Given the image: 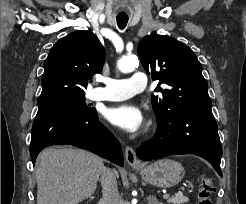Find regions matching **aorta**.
<instances>
[{
    "label": "aorta",
    "instance_id": "obj_1",
    "mask_svg": "<svg viewBox=\"0 0 246 204\" xmlns=\"http://www.w3.org/2000/svg\"><path fill=\"white\" fill-rule=\"evenodd\" d=\"M139 65L137 56L127 55L118 61V69L123 73L133 71Z\"/></svg>",
    "mask_w": 246,
    "mask_h": 204
}]
</instances>
